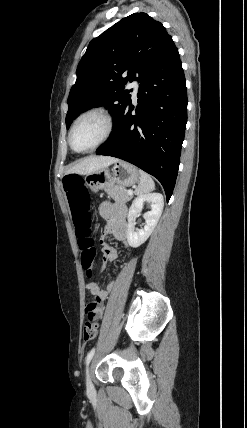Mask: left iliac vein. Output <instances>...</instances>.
<instances>
[{"label": "left iliac vein", "instance_id": "4c4485c4", "mask_svg": "<svg viewBox=\"0 0 247 428\" xmlns=\"http://www.w3.org/2000/svg\"><path fill=\"white\" fill-rule=\"evenodd\" d=\"M86 383H87L88 390H90V391L93 390V383H92V380L90 377L89 369H87V372H86Z\"/></svg>", "mask_w": 247, "mask_h": 428}]
</instances>
